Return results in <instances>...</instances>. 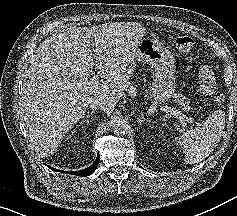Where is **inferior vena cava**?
Wrapping results in <instances>:
<instances>
[{"label":"inferior vena cava","mask_w":237,"mask_h":216,"mask_svg":"<svg viewBox=\"0 0 237 216\" xmlns=\"http://www.w3.org/2000/svg\"><path fill=\"white\" fill-rule=\"evenodd\" d=\"M88 107H90L91 109H95V110H100V111H104V112H113L115 105L110 104L107 96H100L97 98H93L88 104Z\"/></svg>","instance_id":"obj_1"}]
</instances>
